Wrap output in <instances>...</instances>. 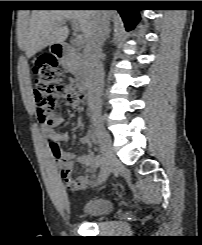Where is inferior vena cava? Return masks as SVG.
<instances>
[{"instance_id":"obj_1","label":"inferior vena cava","mask_w":202,"mask_h":245,"mask_svg":"<svg viewBox=\"0 0 202 245\" xmlns=\"http://www.w3.org/2000/svg\"><path fill=\"white\" fill-rule=\"evenodd\" d=\"M108 31L109 18L104 12H99L94 28L84 47V60L89 81L88 107L94 116L99 115L101 112V94L104 86L102 45Z\"/></svg>"}]
</instances>
